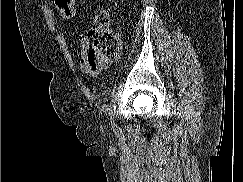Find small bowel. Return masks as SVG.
Masks as SVG:
<instances>
[{
    "instance_id": "small-bowel-1",
    "label": "small bowel",
    "mask_w": 243,
    "mask_h": 182,
    "mask_svg": "<svg viewBox=\"0 0 243 182\" xmlns=\"http://www.w3.org/2000/svg\"><path fill=\"white\" fill-rule=\"evenodd\" d=\"M79 43L81 50L80 68L84 74L97 76L108 68L110 60H104L90 55L88 37L85 34L80 35Z\"/></svg>"
}]
</instances>
